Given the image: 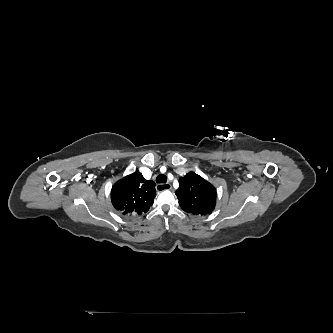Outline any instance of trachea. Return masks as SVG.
I'll return each mask as SVG.
<instances>
[{"label": "trachea", "mask_w": 333, "mask_h": 333, "mask_svg": "<svg viewBox=\"0 0 333 333\" xmlns=\"http://www.w3.org/2000/svg\"><path fill=\"white\" fill-rule=\"evenodd\" d=\"M157 183H166L167 182V177L164 174H160L156 178Z\"/></svg>", "instance_id": "trachea-1"}]
</instances>
